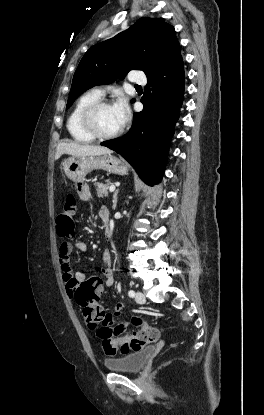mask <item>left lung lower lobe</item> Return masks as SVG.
I'll return each instance as SVG.
<instances>
[{"mask_svg": "<svg viewBox=\"0 0 264 415\" xmlns=\"http://www.w3.org/2000/svg\"><path fill=\"white\" fill-rule=\"evenodd\" d=\"M141 102L142 112L134 113L131 129L106 146L125 158L147 184H158L163 176L170 139L182 106L185 73L182 56L164 69L147 76Z\"/></svg>", "mask_w": 264, "mask_h": 415, "instance_id": "obj_1", "label": "left lung lower lobe"}]
</instances>
